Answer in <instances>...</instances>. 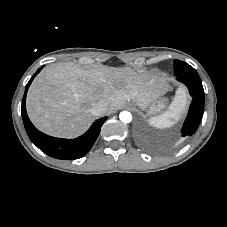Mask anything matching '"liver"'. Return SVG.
Returning <instances> with one entry per match:
<instances>
[{
	"label": "liver",
	"instance_id": "obj_1",
	"mask_svg": "<svg viewBox=\"0 0 227 227\" xmlns=\"http://www.w3.org/2000/svg\"><path fill=\"white\" fill-rule=\"evenodd\" d=\"M168 85L148 73L128 67L83 69L74 63L53 64L33 81L27 95L32 123L52 136L72 138L94 120V104L107 103L105 113L120 109L126 101L147 105L161 97ZM183 95L181 89L177 96Z\"/></svg>",
	"mask_w": 227,
	"mask_h": 227
}]
</instances>
